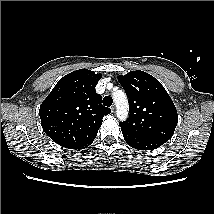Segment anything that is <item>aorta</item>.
<instances>
[{
    "label": "aorta",
    "instance_id": "obj_1",
    "mask_svg": "<svg viewBox=\"0 0 214 214\" xmlns=\"http://www.w3.org/2000/svg\"><path fill=\"white\" fill-rule=\"evenodd\" d=\"M113 100L116 104V114L119 120L124 121L128 117L129 105L126 94L122 90L113 93Z\"/></svg>",
    "mask_w": 214,
    "mask_h": 214
}]
</instances>
